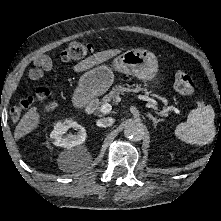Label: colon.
<instances>
[{"label": "colon", "instance_id": "colon-1", "mask_svg": "<svg viewBox=\"0 0 221 221\" xmlns=\"http://www.w3.org/2000/svg\"><path fill=\"white\" fill-rule=\"evenodd\" d=\"M92 52V46L83 42H72L61 53V59L65 62L80 60ZM176 90L185 96L195 93L194 80L184 72H178L175 77ZM41 105L44 112L53 113L57 108V102L50 97V92L45 87H39L33 94L27 95L20 100L10 111L12 120H19L21 116L33 105Z\"/></svg>", "mask_w": 221, "mask_h": 221}]
</instances>
